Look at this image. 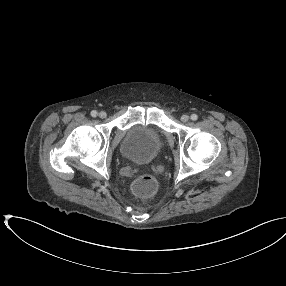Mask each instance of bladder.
<instances>
[{"label": "bladder", "instance_id": "obj_1", "mask_svg": "<svg viewBox=\"0 0 286 286\" xmlns=\"http://www.w3.org/2000/svg\"><path fill=\"white\" fill-rule=\"evenodd\" d=\"M161 133L155 127H132L120 144V152L131 162L139 165L155 160L162 151Z\"/></svg>", "mask_w": 286, "mask_h": 286}]
</instances>
